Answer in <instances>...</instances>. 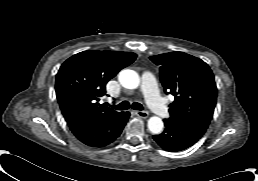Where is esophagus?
Wrapping results in <instances>:
<instances>
[{
  "mask_svg": "<svg viewBox=\"0 0 258 181\" xmlns=\"http://www.w3.org/2000/svg\"><path fill=\"white\" fill-rule=\"evenodd\" d=\"M135 114L144 119L149 116V113L147 111H135Z\"/></svg>",
  "mask_w": 258,
  "mask_h": 181,
  "instance_id": "esophagus-1",
  "label": "esophagus"
}]
</instances>
